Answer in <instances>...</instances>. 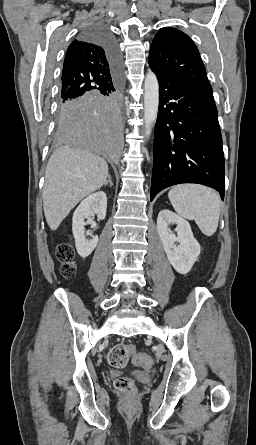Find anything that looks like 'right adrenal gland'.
<instances>
[{
    "instance_id": "2a0ac1e0",
    "label": "right adrenal gland",
    "mask_w": 256,
    "mask_h": 445,
    "mask_svg": "<svg viewBox=\"0 0 256 445\" xmlns=\"http://www.w3.org/2000/svg\"><path fill=\"white\" fill-rule=\"evenodd\" d=\"M108 183L110 184V187L113 186V182H112L110 174H108V179L105 181L104 186H106Z\"/></svg>"
}]
</instances>
